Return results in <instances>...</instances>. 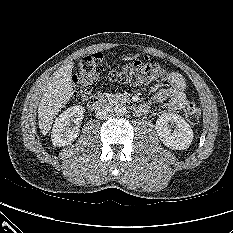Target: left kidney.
Instances as JSON below:
<instances>
[{"label":"left kidney","instance_id":"obj_1","mask_svg":"<svg viewBox=\"0 0 233 233\" xmlns=\"http://www.w3.org/2000/svg\"><path fill=\"white\" fill-rule=\"evenodd\" d=\"M169 123L175 125L173 131L168 127ZM155 129L163 144L171 149H187L193 140V131L189 124L175 113L161 114L156 121Z\"/></svg>","mask_w":233,"mask_h":233}]
</instances>
